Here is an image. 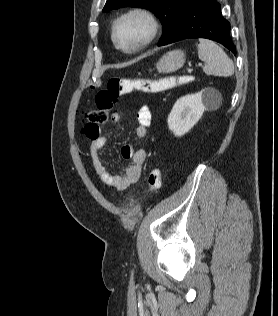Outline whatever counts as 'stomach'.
I'll use <instances>...</instances> for the list:
<instances>
[{"label": "stomach", "instance_id": "0dacf381", "mask_svg": "<svg viewBox=\"0 0 278 316\" xmlns=\"http://www.w3.org/2000/svg\"><path fill=\"white\" fill-rule=\"evenodd\" d=\"M185 63V54L181 50L168 52L156 64L157 70L162 73H171L180 69Z\"/></svg>", "mask_w": 278, "mask_h": 316}]
</instances>
